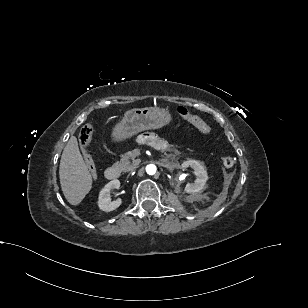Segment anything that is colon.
I'll return each mask as SVG.
<instances>
[{"label":"colon","instance_id":"1","mask_svg":"<svg viewBox=\"0 0 308 308\" xmlns=\"http://www.w3.org/2000/svg\"><path fill=\"white\" fill-rule=\"evenodd\" d=\"M177 111L181 118L191 123L200 132L204 134L211 133V127L202 118H200L199 116L195 114H192L187 108L180 106L178 107ZM92 135H93V126L91 124H85L84 126H82L79 132V143L82 149V155H83L85 164L90 174L93 177H95L96 168H95L94 160L88 150ZM222 164L226 168H231L235 164V159L231 156H225L222 159Z\"/></svg>","mask_w":308,"mask_h":308}]
</instances>
